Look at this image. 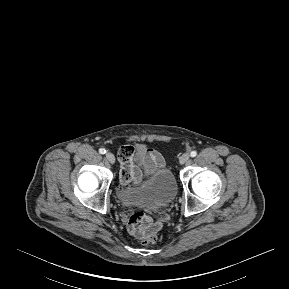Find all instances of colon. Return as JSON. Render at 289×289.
Here are the masks:
<instances>
[{
  "instance_id": "5ec220e1",
  "label": "colon",
  "mask_w": 289,
  "mask_h": 289,
  "mask_svg": "<svg viewBox=\"0 0 289 289\" xmlns=\"http://www.w3.org/2000/svg\"><path fill=\"white\" fill-rule=\"evenodd\" d=\"M143 213H139V216H143ZM158 236H157V232H151L149 233L147 236H145L141 242L145 245L147 244H154L157 242Z\"/></svg>"
}]
</instances>
